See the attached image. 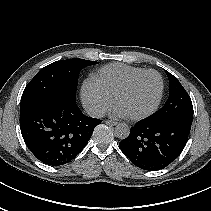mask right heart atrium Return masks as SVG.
I'll return each mask as SVG.
<instances>
[{"mask_svg":"<svg viewBox=\"0 0 211 211\" xmlns=\"http://www.w3.org/2000/svg\"><path fill=\"white\" fill-rule=\"evenodd\" d=\"M81 96L87 110L94 115L103 114L112 100V96L92 78L84 82Z\"/></svg>","mask_w":211,"mask_h":211,"instance_id":"d8ad5b80","label":"right heart atrium"}]
</instances>
